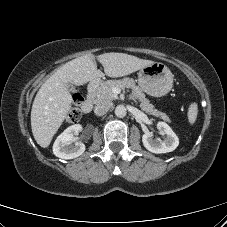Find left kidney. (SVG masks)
Returning a JSON list of instances; mask_svg holds the SVG:
<instances>
[{"instance_id": "left-kidney-1", "label": "left kidney", "mask_w": 227, "mask_h": 227, "mask_svg": "<svg viewBox=\"0 0 227 227\" xmlns=\"http://www.w3.org/2000/svg\"><path fill=\"white\" fill-rule=\"evenodd\" d=\"M157 128L159 131L165 135L164 140L153 139L150 133H145L142 136V142L144 147L156 154L172 152L179 145V139L177 135L173 132L171 127L165 122H158Z\"/></svg>"}]
</instances>
